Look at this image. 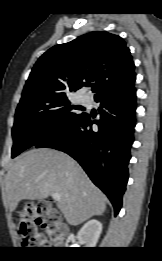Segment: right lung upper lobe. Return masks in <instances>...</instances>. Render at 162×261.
Wrapping results in <instances>:
<instances>
[{
    "instance_id": "obj_1",
    "label": "right lung upper lobe",
    "mask_w": 162,
    "mask_h": 261,
    "mask_svg": "<svg viewBox=\"0 0 162 261\" xmlns=\"http://www.w3.org/2000/svg\"><path fill=\"white\" fill-rule=\"evenodd\" d=\"M134 62L125 41L108 32H90L46 51L34 65L22 98L69 96L95 82V97L132 86Z\"/></svg>"
}]
</instances>
